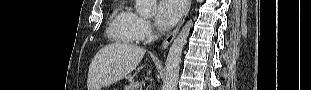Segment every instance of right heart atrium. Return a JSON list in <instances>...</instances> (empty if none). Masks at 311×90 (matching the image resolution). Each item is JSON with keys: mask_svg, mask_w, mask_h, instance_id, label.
Segmentation results:
<instances>
[{"mask_svg": "<svg viewBox=\"0 0 311 90\" xmlns=\"http://www.w3.org/2000/svg\"><path fill=\"white\" fill-rule=\"evenodd\" d=\"M135 27L139 40L148 38L152 33V25L150 21L138 14H136Z\"/></svg>", "mask_w": 311, "mask_h": 90, "instance_id": "right-heart-atrium-1", "label": "right heart atrium"}]
</instances>
